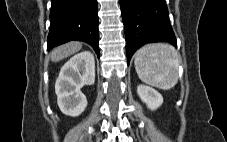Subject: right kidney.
I'll return each mask as SVG.
<instances>
[{"label": "right kidney", "instance_id": "ca27d5eb", "mask_svg": "<svg viewBox=\"0 0 227 142\" xmlns=\"http://www.w3.org/2000/svg\"><path fill=\"white\" fill-rule=\"evenodd\" d=\"M95 82V60L89 51L73 56L61 68L55 83V92L60 110L68 116H79L87 106L81 92L84 85Z\"/></svg>", "mask_w": 227, "mask_h": 142}]
</instances>
